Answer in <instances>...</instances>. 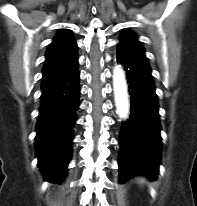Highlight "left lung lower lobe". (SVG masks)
Returning a JSON list of instances; mask_svg holds the SVG:
<instances>
[{
	"label": "left lung lower lobe",
	"instance_id": "left-lung-lower-lobe-1",
	"mask_svg": "<svg viewBox=\"0 0 197 206\" xmlns=\"http://www.w3.org/2000/svg\"><path fill=\"white\" fill-rule=\"evenodd\" d=\"M117 60L129 83L131 115L120 128L119 181L133 175L157 177L161 160V126L151 69L118 45Z\"/></svg>",
	"mask_w": 197,
	"mask_h": 206
}]
</instances>
